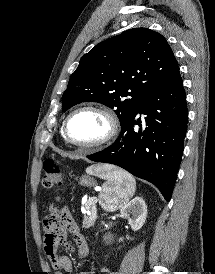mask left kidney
<instances>
[{"label": "left kidney", "mask_w": 215, "mask_h": 274, "mask_svg": "<svg viewBox=\"0 0 215 274\" xmlns=\"http://www.w3.org/2000/svg\"><path fill=\"white\" fill-rule=\"evenodd\" d=\"M120 213L121 216L128 219L132 230L137 231L141 229L145 223L147 217V206L141 197H135L121 208ZM130 214L132 215L131 217ZM119 241H123V238H120Z\"/></svg>", "instance_id": "5707ae66"}]
</instances>
